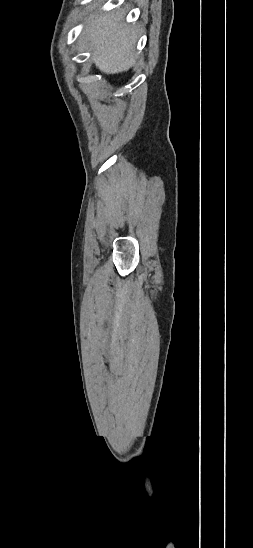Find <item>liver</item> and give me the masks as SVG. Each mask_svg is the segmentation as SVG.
Masks as SVG:
<instances>
[{"label":"liver","mask_w":253,"mask_h":548,"mask_svg":"<svg viewBox=\"0 0 253 548\" xmlns=\"http://www.w3.org/2000/svg\"><path fill=\"white\" fill-rule=\"evenodd\" d=\"M121 11L93 18L82 33L96 67L105 74L128 71L135 64L138 32L123 23Z\"/></svg>","instance_id":"1"}]
</instances>
